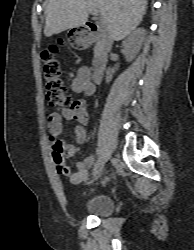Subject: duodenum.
Returning <instances> with one entry per match:
<instances>
[{"label": "duodenum", "instance_id": "duodenum-1", "mask_svg": "<svg viewBox=\"0 0 194 250\" xmlns=\"http://www.w3.org/2000/svg\"><path fill=\"white\" fill-rule=\"evenodd\" d=\"M85 30L86 33L81 36L91 44H97L99 47L98 54L93 61L92 80L94 82H100L106 67V53L110 48V43L100 25L87 22L85 24Z\"/></svg>", "mask_w": 194, "mask_h": 250}]
</instances>
